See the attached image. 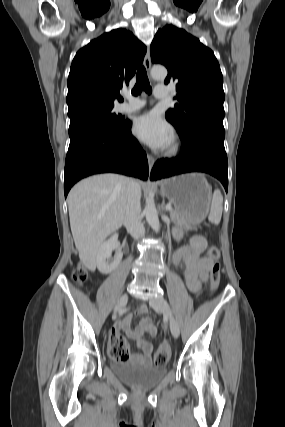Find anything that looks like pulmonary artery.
<instances>
[{
	"label": "pulmonary artery",
	"mask_w": 285,
	"mask_h": 427,
	"mask_svg": "<svg viewBox=\"0 0 285 427\" xmlns=\"http://www.w3.org/2000/svg\"><path fill=\"white\" fill-rule=\"evenodd\" d=\"M154 95L158 99H164L169 96V88L166 85H157ZM146 104L145 100L126 95V100L119 105L121 112H132L142 108Z\"/></svg>",
	"instance_id": "obj_1"
}]
</instances>
